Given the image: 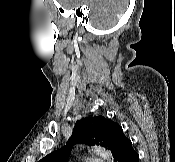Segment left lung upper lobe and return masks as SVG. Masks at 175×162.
<instances>
[{"instance_id": "5c2ea615", "label": "left lung upper lobe", "mask_w": 175, "mask_h": 162, "mask_svg": "<svg viewBox=\"0 0 175 162\" xmlns=\"http://www.w3.org/2000/svg\"><path fill=\"white\" fill-rule=\"evenodd\" d=\"M124 135L117 123L103 116L82 119L76 122L68 143L53 151L38 162H66L75 144H100L113 152L116 144Z\"/></svg>"}]
</instances>
